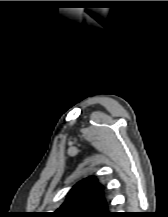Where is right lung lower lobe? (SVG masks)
Here are the masks:
<instances>
[{"instance_id": "right-lung-lower-lobe-1", "label": "right lung lower lobe", "mask_w": 168, "mask_h": 217, "mask_svg": "<svg viewBox=\"0 0 168 217\" xmlns=\"http://www.w3.org/2000/svg\"><path fill=\"white\" fill-rule=\"evenodd\" d=\"M109 217H114V215H110ZM116 217H119V216H116Z\"/></svg>"}]
</instances>
